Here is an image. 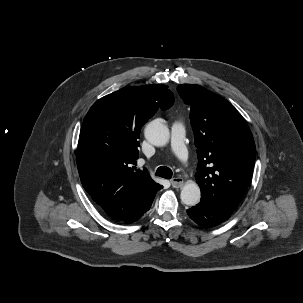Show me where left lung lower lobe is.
<instances>
[{
	"label": "left lung lower lobe",
	"instance_id": "0a47b994",
	"mask_svg": "<svg viewBox=\"0 0 303 303\" xmlns=\"http://www.w3.org/2000/svg\"><path fill=\"white\" fill-rule=\"evenodd\" d=\"M187 214L199 226L210 228L223 223L233 213L215 201L202 198L197 206L187 210Z\"/></svg>",
	"mask_w": 303,
	"mask_h": 303
}]
</instances>
